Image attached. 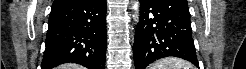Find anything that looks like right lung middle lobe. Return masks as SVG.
Returning a JSON list of instances; mask_svg holds the SVG:
<instances>
[{"mask_svg": "<svg viewBox=\"0 0 246 69\" xmlns=\"http://www.w3.org/2000/svg\"><path fill=\"white\" fill-rule=\"evenodd\" d=\"M73 1V0H72ZM74 1H85V0H74Z\"/></svg>", "mask_w": 246, "mask_h": 69, "instance_id": "right-lung-middle-lobe-1", "label": "right lung middle lobe"}]
</instances>
